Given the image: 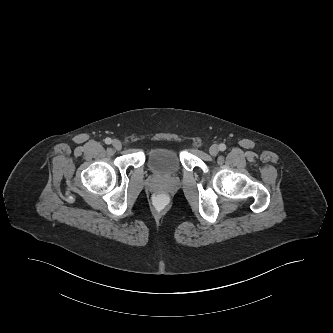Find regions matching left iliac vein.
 Returning a JSON list of instances; mask_svg holds the SVG:
<instances>
[{"label": "left iliac vein", "mask_w": 333, "mask_h": 333, "mask_svg": "<svg viewBox=\"0 0 333 333\" xmlns=\"http://www.w3.org/2000/svg\"><path fill=\"white\" fill-rule=\"evenodd\" d=\"M209 153L210 155L212 156H216L218 153H219V147L217 145H212L210 148H209Z\"/></svg>", "instance_id": "obj_1"}]
</instances>
